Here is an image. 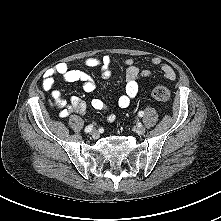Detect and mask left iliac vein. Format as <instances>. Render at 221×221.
Segmentation results:
<instances>
[{
	"instance_id": "obj_1",
	"label": "left iliac vein",
	"mask_w": 221,
	"mask_h": 221,
	"mask_svg": "<svg viewBox=\"0 0 221 221\" xmlns=\"http://www.w3.org/2000/svg\"><path fill=\"white\" fill-rule=\"evenodd\" d=\"M136 133L137 134H139V135H142V134H144L145 133V127L144 126H138L137 128H136Z\"/></svg>"
}]
</instances>
